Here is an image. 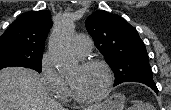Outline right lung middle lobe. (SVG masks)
I'll return each instance as SVG.
<instances>
[{
    "label": "right lung middle lobe",
    "instance_id": "1",
    "mask_svg": "<svg viewBox=\"0 0 171 110\" xmlns=\"http://www.w3.org/2000/svg\"><path fill=\"white\" fill-rule=\"evenodd\" d=\"M43 52L32 51L15 44H0V69L9 66L32 68L38 72L42 69Z\"/></svg>",
    "mask_w": 171,
    "mask_h": 110
}]
</instances>
